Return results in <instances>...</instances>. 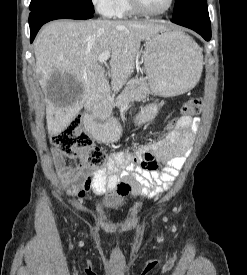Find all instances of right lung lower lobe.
<instances>
[{
  "mask_svg": "<svg viewBox=\"0 0 247 275\" xmlns=\"http://www.w3.org/2000/svg\"><path fill=\"white\" fill-rule=\"evenodd\" d=\"M92 13L80 12L65 7H47L33 10L29 14L30 41L33 42L37 32L43 24L56 19H90Z\"/></svg>",
  "mask_w": 247,
  "mask_h": 275,
  "instance_id": "98d812e1",
  "label": "right lung lower lobe"
}]
</instances>
